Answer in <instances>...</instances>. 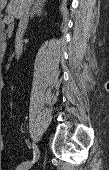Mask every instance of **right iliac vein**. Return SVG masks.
Wrapping results in <instances>:
<instances>
[{
  "label": "right iliac vein",
  "instance_id": "63e3f726",
  "mask_svg": "<svg viewBox=\"0 0 109 170\" xmlns=\"http://www.w3.org/2000/svg\"><path fill=\"white\" fill-rule=\"evenodd\" d=\"M33 161V160H32ZM32 161H26L23 162L22 164H20L16 170H28L31 168V166L33 165V163H31ZM35 163V162H34Z\"/></svg>",
  "mask_w": 109,
  "mask_h": 170
}]
</instances>
